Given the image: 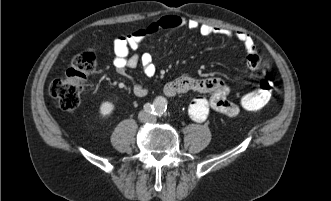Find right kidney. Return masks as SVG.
Masks as SVG:
<instances>
[{
    "label": "right kidney",
    "mask_w": 331,
    "mask_h": 201,
    "mask_svg": "<svg viewBox=\"0 0 331 201\" xmlns=\"http://www.w3.org/2000/svg\"><path fill=\"white\" fill-rule=\"evenodd\" d=\"M114 110V105L110 101L103 102L100 106L99 113L102 117H108Z\"/></svg>",
    "instance_id": "obj_1"
}]
</instances>
